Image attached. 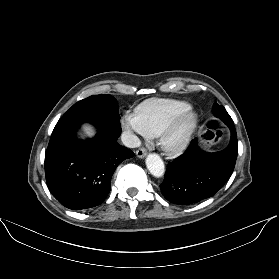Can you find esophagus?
Instances as JSON below:
<instances>
[{
	"label": "esophagus",
	"instance_id": "obj_1",
	"mask_svg": "<svg viewBox=\"0 0 279 279\" xmlns=\"http://www.w3.org/2000/svg\"><path fill=\"white\" fill-rule=\"evenodd\" d=\"M146 154H147V151L143 148H140L136 151V155L139 158H144L146 156Z\"/></svg>",
	"mask_w": 279,
	"mask_h": 279
}]
</instances>
